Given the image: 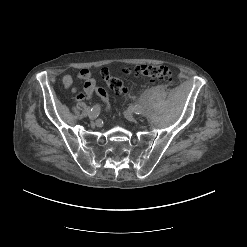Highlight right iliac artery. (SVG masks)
Segmentation results:
<instances>
[{
  "label": "right iliac artery",
  "mask_w": 247,
  "mask_h": 247,
  "mask_svg": "<svg viewBox=\"0 0 247 247\" xmlns=\"http://www.w3.org/2000/svg\"><path fill=\"white\" fill-rule=\"evenodd\" d=\"M93 108H96V109L98 110V114H97V116H98V115H99V112H100V106H99V105H95V106H93L92 108H87V109L91 112V110H92Z\"/></svg>",
  "instance_id": "82829eb1"
}]
</instances>
